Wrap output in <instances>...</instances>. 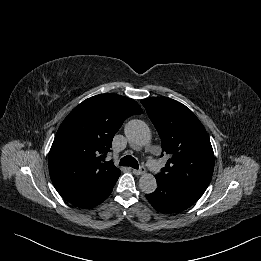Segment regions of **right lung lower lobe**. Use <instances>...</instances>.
Segmentation results:
<instances>
[{
	"label": "right lung lower lobe",
	"instance_id": "obj_1",
	"mask_svg": "<svg viewBox=\"0 0 261 261\" xmlns=\"http://www.w3.org/2000/svg\"><path fill=\"white\" fill-rule=\"evenodd\" d=\"M118 177L115 180H113L110 184H108L106 187H104L102 190H100L98 193L93 194V195L83 198V199H79V200L70 202V203L77 207H81V208H92V207L97 206L110 195V193L113 189V186L115 185Z\"/></svg>",
	"mask_w": 261,
	"mask_h": 261
}]
</instances>
